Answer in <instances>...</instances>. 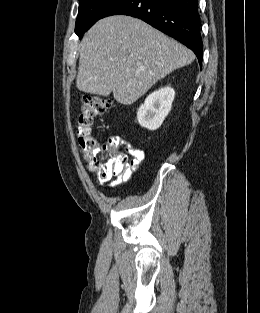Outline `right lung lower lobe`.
<instances>
[{
	"mask_svg": "<svg viewBox=\"0 0 260 313\" xmlns=\"http://www.w3.org/2000/svg\"><path fill=\"white\" fill-rule=\"evenodd\" d=\"M198 0H118L102 16L129 15L175 38L190 48L202 64Z\"/></svg>",
	"mask_w": 260,
	"mask_h": 313,
	"instance_id": "1",
	"label": "right lung lower lobe"
}]
</instances>
